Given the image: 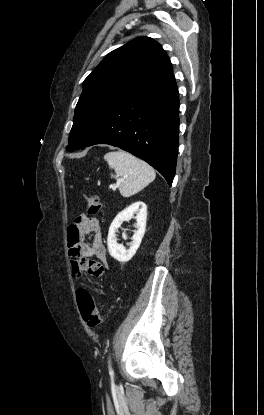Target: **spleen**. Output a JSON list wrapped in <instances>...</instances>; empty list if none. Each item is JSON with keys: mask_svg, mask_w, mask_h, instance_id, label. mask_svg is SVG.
Here are the masks:
<instances>
[{"mask_svg": "<svg viewBox=\"0 0 264 415\" xmlns=\"http://www.w3.org/2000/svg\"><path fill=\"white\" fill-rule=\"evenodd\" d=\"M104 160L115 171V175L112 174L111 177L123 179L119 185L123 197L135 195L156 177L150 165L125 151H111L104 156Z\"/></svg>", "mask_w": 264, "mask_h": 415, "instance_id": "1", "label": "spleen"}]
</instances>
